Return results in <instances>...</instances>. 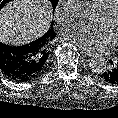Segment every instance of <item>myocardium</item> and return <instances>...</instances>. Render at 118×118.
Here are the masks:
<instances>
[{"label": "myocardium", "mask_w": 118, "mask_h": 118, "mask_svg": "<svg viewBox=\"0 0 118 118\" xmlns=\"http://www.w3.org/2000/svg\"><path fill=\"white\" fill-rule=\"evenodd\" d=\"M116 14H118V2L104 10H100V15L106 20L112 19ZM113 46L118 48V41L114 42Z\"/></svg>", "instance_id": "obj_1"}]
</instances>
